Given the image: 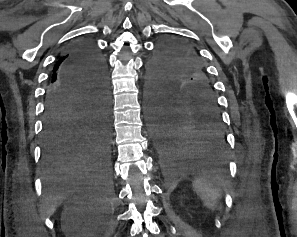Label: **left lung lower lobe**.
<instances>
[{
	"label": "left lung lower lobe",
	"instance_id": "1",
	"mask_svg": "<svg viewBox=\"0 0 297 237\" xmlns=\"http://www.w3.org/2000/svg\"><path fill=\"white\" fill-rule=\"evenodd\" d=\"M148 112L156 148L166 165L225 166L227 141L217 103L203 100L180 104L151 97Z\"/></svg>",
	"mask_w": 297,
	"mask_h": 237
}]
</instances>
